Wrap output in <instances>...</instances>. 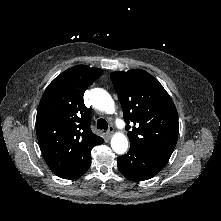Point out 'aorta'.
Listing matches in <instances>:
<instances>
[{
    "label": "aorta",
    "instance_id": "aorta-1",
    "mask_svg": "<svg viewBox=\"0 0 221 221\" xmlns=\"http://www.w3.org/2000/svg\"><path fill=\"white\" fill-rule=\"evenodd\" d=\"M91 101L95 108L111 114L115 111V105L110 94L101 88L92 89L90 92ZM111 147L117 154H123L128 149V140L126 136L117 132L113 135L111 139Z\"/></svg>",
    "mask_w": 221,
    "mask_h": 221
}]
</instances>
